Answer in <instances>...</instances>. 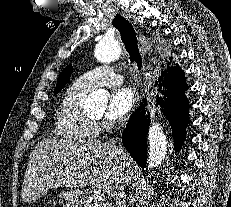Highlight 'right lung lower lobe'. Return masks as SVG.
Returning a JSON list of instances; mask_svg holds the SVG:
<instances>
[{
    "mask_svg": "<svg viewBox=\"0 0 231 207\" xmlns=\"http://www.w3.org/2000/svg\"><path fill=\"white\" fill-rule=\"evenodd\" d=\"M159 83L162 97L156 101L168 119L174 138V149L178 152L185 139L186 127L189 123V102L185 96L188 89L184 72L179 67L162 71ZM146 101L131 115L122 134V143L133 159L142 168L146 166L147 131L150 123V112L145 108Z\"/></svg>",
    "mask_w": 231,
    "mask_h": 207,
    "instance_id": "right-lung-lower-lobe-1",
    "label": "right lung lower lobe"
}]
</instances>
